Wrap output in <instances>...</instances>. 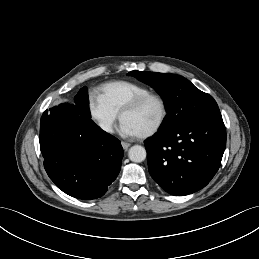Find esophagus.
Returning <instances> with one entry per match:
<instances>
[{
    "label": "esophagus",
    "instance_id": "34e87169",
    "mask_svg": "<svg viewBox=\"0 0 259 259\" xmlns=\"http://www.w3.org/2000/svg\"><path fill=\"white\" fill-rule=\"evenodd\" d=\"M121 145H122V147H123L125 150H128V148L131 146L130 143H127V142H124V141L121 142Z\"/></svg>",
    "mask_w": 259,
    "mask_h": 259
}]
</instances>
